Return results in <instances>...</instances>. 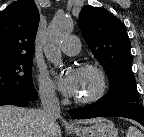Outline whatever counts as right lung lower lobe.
<instances>
[{
	"mask_svg": "<svg viewBox=\"0 0 144 137\" xmlns=\"http://www.w3.org/2000/svg\"><path fill=\"white\" fill-rule=\"evenodd\" d=\"M23 98L11 95L0 96V105H16L21 107H27V103Z\"/></svg>",
	"mask_w": 144,
	"mask_h": 137,
	"instance_id": "1",
	"label": "right lung lower lobe"
}]
</instances>
